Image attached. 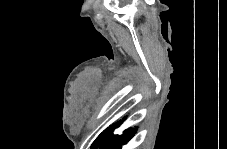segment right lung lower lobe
Returning a JSON list of instances; mask_svg holds the SVG:
<instances>
[{
  "label": "right lung lower lobe",
  "instance_id": "right-lung-lower-lobe-1",
  "mask_svg": "<svg viewBox=\"0 0 227 149\" xmlns=\"http://www.w3.org/2000/svg\"><path fill=\"white\" fill-rule=\"evenodd\" d=\"M121 123L122 120L118 121L117 123L113 124V126L103 131L93 142L92 146L95 148L99 147L100 149L122 148V146L127 144V142L134 136L136 130L134 128H130L125 130L122 135H114L113 134L114 129L120 126Z\"/></svg>",
  "mask_w": 227,
  "mask_h": 149
}]
</instances>
